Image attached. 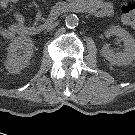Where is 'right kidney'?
I'll list each match as a JSON object with an SVG mask.
<instances>
[{
	"label": "right kidney",
	"mask_w": 135,
	"mask_h": 135,
	"mask_svg": "<svg viewBox=\"0 0 135 135\" xmlns=\"http://www.w3.org/2000/svg\"><path fill=\"white\" fill-rule=\"evenodd\" d=\"M33 46V41L29 37L14 38L7 48L6 69L10 73L17 74L28 66L33 55Z\"/></svg>",
	"instance_id": "1"
}]
</instances>
